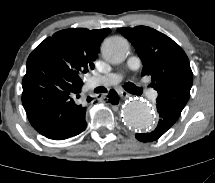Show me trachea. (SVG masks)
Masks as SVG:
<instances>
[{
	"instance_id": "1",
	"label": "trachea",
	"mask_w": 215,
	"mask_h": 183,
	"mask_svg": "<svg viewBox=\"0 0 215 183\" xmlns=\"http://www.w3.org/2000/svg\"><path fill=\"white\" fill-rule=\"evenodd\" d=\"M124 88L128 91V92H139L141 91V89L137 88L134 84L132 83H127L125 84Z\"/></svg>"
}]
</instances>
